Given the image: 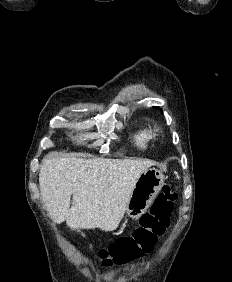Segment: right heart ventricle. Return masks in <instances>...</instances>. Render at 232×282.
Returning <instances> with one entry per match:
<instances>
[{"label": "right heart ventricle", "mask_w": 232, "mask_h": 282, "mask_svg": "<svg viewBox=\"0 0 232 282\" xmlns=\"http://www.w3.org/2000/svg\"><path fill=\"white\" fill-rule=\"evenodd\" d=\"M153 139V133L148 125H139L131 135V141L138 150H146Z\"/></svg>", "instance_id": "obj_1"}]
</instances>
